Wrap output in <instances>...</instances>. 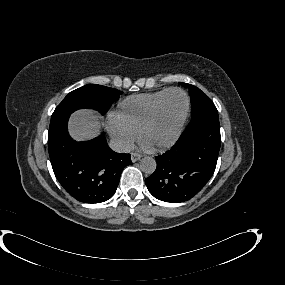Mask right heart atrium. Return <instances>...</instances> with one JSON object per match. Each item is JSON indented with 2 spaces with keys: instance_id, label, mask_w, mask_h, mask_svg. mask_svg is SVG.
<instances>
[{
  "instance_id": "right-heart-atrium-1",
  "label": "right heart atrium",
  "mask_w": 285,
  "mask_h": 285,
  "mask_svg": "<svg viewBox=\"0 0 285 285\" xmlns=\"http://www.w3.org/2000/svg\"><path fill=\"white\" fill-rule=\"evenodd\" d=\"M108 132L118 145L124 149L129 148L136 139V134L121 124L115 116H111L109 119Z\"/></svg>"
}]
</instances>
